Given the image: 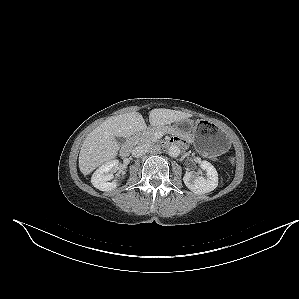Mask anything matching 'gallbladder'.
Returning a JSON list of instances; mask_svg holds the SVG:
<instances>
[{"instance_id": "obj_1", "label": "gallbladder", "mask_w": 299, "mask_h": 299, "mask_svg": "<svg viewBox=\"0 0 299 299\" xmlns=\"http://www.w3.org/2000/svg\"><path fill=\"white\" fill-rule=\"evenodd\" d=\"M115 139L119 145H123L125 142V139L123 137H116Z\"/></svg>"}]
</instances>
